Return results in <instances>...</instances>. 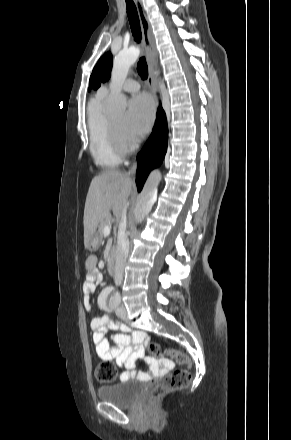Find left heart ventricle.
<instances>
[{"instance_id": "1", "label": "left heart ventricle", "mask_w": 291, "mask_h": 440, "mask_svg": "<svg viewBox=\"0 0 291 440\" xmlns=\"http://www.w3.org/2000/svg\"><path fill=\"white\" fill-rule=\"evenodd\" d=\"M111 121L113 122L114 126L116 127V129L118 130V132L125 138L126 134H125V130H124V119L125 116L124 114H120V115H116V116H112L110 117Z\"/></svg>"}]
</instances>
